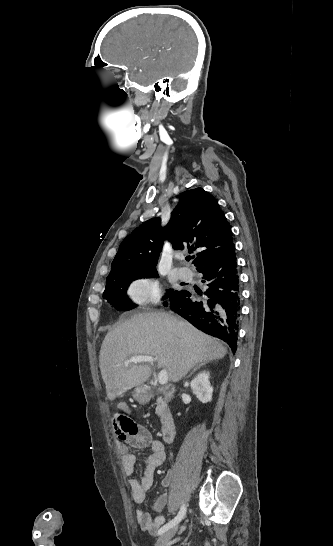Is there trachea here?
I'll return each mask as SVG.
<instances>
[{
	"label": "trachea",
	"mask_w": 333,
	"mask_h": 546,
	"mask_svg": "<svg viewBox=\"0 0 333 546\" xmlns=\"http://www.w3.org/2000/svg\"><path fill=\"white\" fill-rule=\"evenodd\" d=\"M190 259H192V257H186V260H187V261H190Z\"/></svg>",
	"instance_id": "trachea-1"
}]
</instances>
